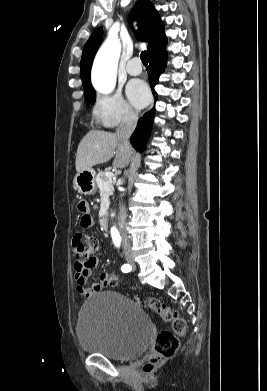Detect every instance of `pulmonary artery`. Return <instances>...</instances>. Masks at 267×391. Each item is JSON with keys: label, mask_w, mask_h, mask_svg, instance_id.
Returning a JSON list of instances; mask_svg holds the SVG:
<instances>
[{"label": "pulmonary artery", "mask_w": 267, "mask_h": 391, "mask_svg": "<svg viewBox=\"0 0 267 391\" xmlns=\"http://www.w3.org/2000/svg\"><path fill=\"white\" fill-rule=\"evenodd\" d=\"M126 70L132 76L139 75L142 72L140 59L138 57L130 59L127 63Z\"/></svg>", "instance_id": "obj_1"}]
</instances>
